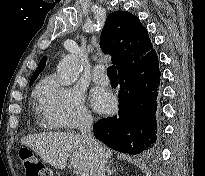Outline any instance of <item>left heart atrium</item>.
Returning <instances> with one entry per match:
<instances>
[{"mask_svg":"<svg viewBox=\"0 0 205 176\" xmlns=\"http://www.w3.org/2000/svg\"><path fill=\"white\" fill-rule=\"evenodd\" d=\"M92 104L97 111L107 112L113 107L114 100L108 92L103 90H94L92 92Z\"/></svg>","mask_w":205,"mask_h":176,"instance_id":"left-heart-atrium-1","label":"left heart atrium"}]
</instances>
